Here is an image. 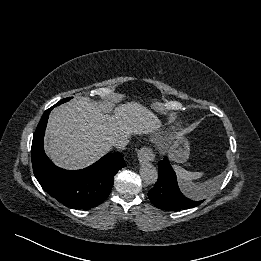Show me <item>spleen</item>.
<instances>
[{
	"label": "spleen",
	"mask_w": 261,
	"mask_h": 261,
	"mask_svg": "<svg viewBox=\"0 0 261 261\" xmlns=\"http://www.w3.org/2000/svg\"><path fill=\"white\" fill-rule=\"evenodd\" d=\"M174 170L176 172L177 178L180 181H184V182H191L192 180H197L199 178L202 177L203 173L202 172H190L187 171L177 165H174ZM195 199H199L198 196H193Z\"/></svg>",
	"instance_id": "spleen-1"
}]
</instances>
